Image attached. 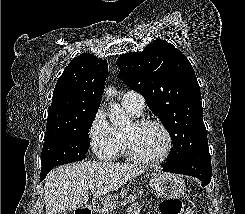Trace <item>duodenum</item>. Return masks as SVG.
Here are the masks:
<instances>
[{
	"label": "duodenum",
	"mask_w": 245,
	"mask_h": 214,
	"mask_svg": "<svg viewBox=\"0 0 245 214\" xmlns=\"http://www.w3.org/2000/svg\"><path fill=\"white\" fill-rule=\"evenodd\" d=\"M93 206L97 211H103L105 209V201L97 199L93 202ZM78 214H85V209H81Z\"/></svg>",
	"instance_id": "1"
}]
</instances>
